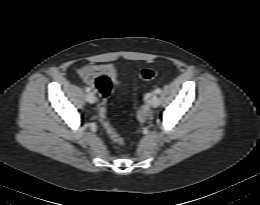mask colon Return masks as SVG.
<instances>
[{
    "label": "colon",
    "instance_id": "colon-1",
    "mask_svg": "<svg viewBox=\"0 0 260 205\" xmlns=\"http://www.w3.org/2000/svg\"><path fill=\"white\" fill-rule=\"evenodd\" d=\"M158 76L157 70L153 68H144L139 72V77L143 81H150L155 79ZM95 88L97 92L101 96V101L99 104L100 110V118L103 129L107 133V135L118 145H124L123 139L120 135L115 131L112 124L108 118V97L112 92L115 82L114 80L105 74L99 75L94 82Z\"/></svg>",
    "mask_w": 260,
    "mask_h": 205
}]
</instances>
